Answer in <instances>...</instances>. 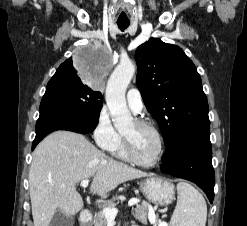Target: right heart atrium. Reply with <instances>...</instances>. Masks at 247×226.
I'll list each match as a JSON object with an SVG mask.
<instances>
[{
  "instance_id": "obj_1",
  "label": "right heart atrium",
  "mask_w": 247,
  "mask_h": 226,
  "mask_svg": "<svg viewBox=\"0 0 247 226\" xmlns=\"http://www.w3.org/2000/svg\"><path fill=\"white\" fill-rule=\"evenodd\" d=\"M93 137L97 146L109 151L118 141L119 134L112 125L106 106H102L98 112Z\"/></svg>"
}]
</instances>
